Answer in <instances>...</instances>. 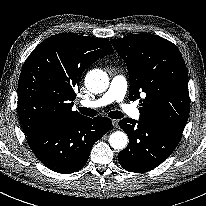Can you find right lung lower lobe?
I'll use <instances>...</instances> for the list:
<instances>
[{"label":"right lung lower lobe","instance_id":"1","mask_svg":"<svg viewBox=\"0 0 206 206\" xmlns=\"http://www.w3.org/2000/svg\"><path fill=\"white\" fill-rule=\"evenodd\" d=\"M111 125L107 117H84L28 136L27 142L47 168L69 174L85 166L92 146L109 131Z\"/></svg>","mask_w":206,"mask_h":206}]
</instances>
